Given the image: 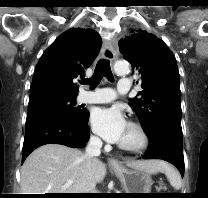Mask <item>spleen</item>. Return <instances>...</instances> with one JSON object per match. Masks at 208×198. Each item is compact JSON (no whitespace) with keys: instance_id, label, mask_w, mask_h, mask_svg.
<instances>
[{"instance_id":"spleen-1","label":"spleen","mask_w":208,"mask_h":198,"mask_svg":"<svg viewBox=\"0 0 208 198\" xmlns=\"http://www.w3.org/2000/svg\"><path fill=\"white\" fill-rule=\"evenodd\" d=\"M162 171L165 172V175L170 182L171 186L176 190H179L182 186L181 177L177 170L167 163H163Z\"/></svg>"}]
</instances>
